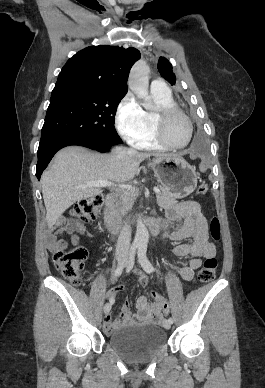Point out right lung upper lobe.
Instances as JSON below:
<instances>
[{
    "label": "right lung upper lobe",
    "mask_w": 265,
    "mask_h": 388,
    "mask_svg": "<svg viewBox=\"0 0 265 388\" xmlns=\"http://www.w3.org/2000/svg\"><path fill=\"white\" fill-rule=\"evenodd\" d=\"M140 56V52L132 47H87L68 60L52 93L73 90H117L127 93L128 73Z\"/></svg>",
    "instance_id": "cb5924a9"
}]
</instances>
